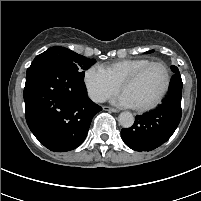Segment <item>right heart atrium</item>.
I'll return each instance as SVG.
<instances>
[{
	"instance_id": "obj_1",
	"label": "right heart atrium",
	"mask_w": 201,
	"mask_h": 201,
	"mask_svg": "<svg viewBox=\"0 0 201 201\" xmlns=\"http://www.w3.org/2000/svg\"><path fill=\"white\" fill-rule=\"evenodd\" d=\"M84 85L89 97L97 103L104 102L119 90L104 67L90 66L84 73Z\"/></svg>"
}]
</instances>
